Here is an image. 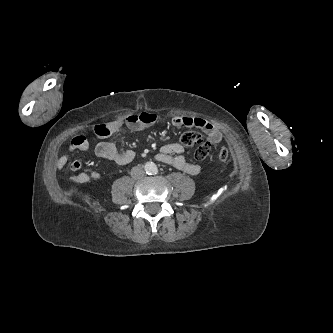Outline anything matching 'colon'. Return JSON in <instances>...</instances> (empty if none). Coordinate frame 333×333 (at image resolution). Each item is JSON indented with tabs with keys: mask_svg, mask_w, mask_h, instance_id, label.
<instances>
[{
	"mask_svg": "<svg viewBox=\"0 0 333 333\" xmlns=\"http://www.w3.org/2000/svg\"><path fill=\"white\" fill-rule=\"evenodd\" d=\"M96 135L99 137H108L111 131L107 124H98L94 127ZM180 141L186 147L197 146L194 157L202 161L206 159L211 152V146L208 142L204 141L203 135L196 131L185 132L181 135ZM214 159L218 162H227L229 160V151L221 148L213 155Z\"/></svg>",
	"mask_w": 333,
	"mask_h": 333,
	"instance_id": "obj_1",
	"label": "colon"
}]
</instances>
